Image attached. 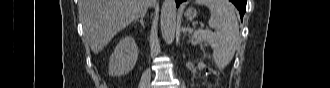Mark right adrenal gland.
Returning <instances> with one entry per match:
<instances>
[{
	"label": "right adrenal gland",
	"instance_id": "2a0ac1e0",
	"mask_svg": "<svg viewBox=\"0 0 330 88\" xmlns=\"http://www.w3.org/2000/svg\"><path fill=\"white\" fill-rule=\"evenodd\" d=\"M144 17H145V15L141 16L140 19L135 20L134 23H136V22H140L141 25H142L143 27H145V25H144Z\"/></svg>",
	"mask_w": 330,
	"mask_h": 88
}]
</instances>
